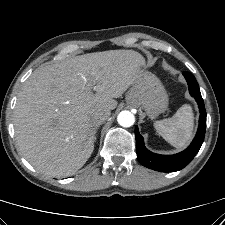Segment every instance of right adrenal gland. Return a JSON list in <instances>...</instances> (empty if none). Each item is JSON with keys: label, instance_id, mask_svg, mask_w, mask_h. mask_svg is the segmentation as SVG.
Returning a JSON list of instances; mask_svg holds the SVG:
<instances>
[{"label": "right adrenal gland", "instance_id": "obj_1", "mask_svg": "<svg viewBox=\"0 0 225 225\" xmlns=\"http://www.w3.org/2000/svg\"><path fill=\"white\" fill-rule=\"evenodd\" d=\"M99 128V125L94 126V141H96V134H97V129Z\"/></svg>", "mask_w": 225, "mask_h": 225}]
</instances>
